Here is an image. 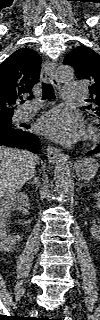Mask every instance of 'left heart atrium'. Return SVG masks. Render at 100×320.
<instances>
[{
    "label": "left heart atrium",
    "instance_id": "obj_1",
    "mask_svg": "<svg viewBox=\"0 0 100 320\" xmlns=\"http://www.w3.org/2000/svg\"><path fill=\"white\" fill-rule=\"evenodd\" d=\"M37 130L63 144L76 142L82 134L79 116L63 108H54L43 114L37 123Z\"/></svg>",
    "mask_w": 100,
    "mask_h": 320
}]
</instances>
